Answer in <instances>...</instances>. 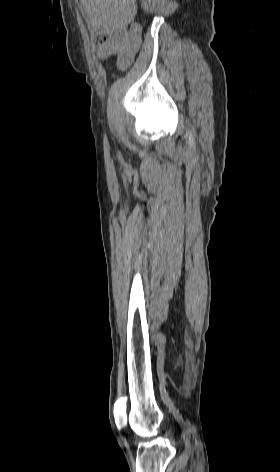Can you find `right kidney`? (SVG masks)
I'll return each mask as SVG.
<instances>
[{"mask_svg": "<svg viewBox=\"0 0 280 472\" xmlns=\"http://www.w3.org/2000/svg\"><path fill=\"white\" fill-rule=\"evenodd\" d=\"M157 0H142V6L144 10L149 11L155 7Z\"/></svg>", "mask_w": 280, "mask_h": 472, "instance_id": "1", "label": "right kidney"}]
</instances>
